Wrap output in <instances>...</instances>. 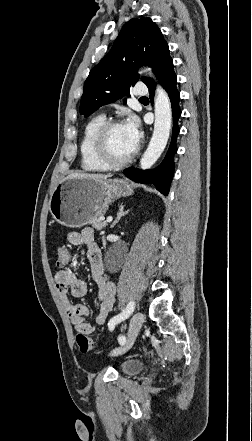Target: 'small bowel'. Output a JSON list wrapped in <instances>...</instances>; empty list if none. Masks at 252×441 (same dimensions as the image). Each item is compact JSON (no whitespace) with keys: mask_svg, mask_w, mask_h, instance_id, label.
I'll return each mask as SVG.
<instances>
[{"mask_svg":"<svg viewBox=\"0 0 252 441\" xmlns=\"http://www.w3.org/2000/svg\"><path fill=\"white\" fill-rule=\"evenodd\" d=\"M67 238L72 245H86L88 248L87 256L92 278L98 286L99 310L95 321L101 325L113 309L116 286L105 273L102 253L95 241V232L92 228H84L81 231L70 232ZM55 282L61 301L75 329L84 334H91L95 328L86 322L89 315L88 308L83 304H74L72 301V298L86 295V282L70 269L59 270L55 275Z\"/></svg>","mask_w":252,"mask_h":441,"instance_id":"small-bowel-1","label":"small bowel"}]
</instances>
